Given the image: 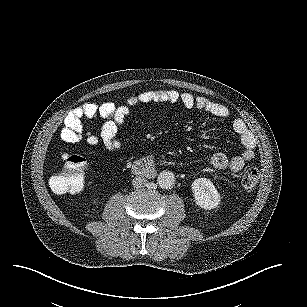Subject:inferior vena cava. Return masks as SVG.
I'll list each match as a JSON object with an SVG mask.
<instances>
[{
	"instance_id": "obj_1",
	"label": "inferior vena cava",
	"mask_w": 307,
	"mask_h": 307,
	"mask_svg": "<svg viewBox=\"0 0 307 307\" xmlns=\"http://www.w3.org/2000/svg\"><path fill=\"white\" fill-rule=\"evenodd\" d=\"M148 181L143 176H135L132 179V185L134 188H143L147 185Z\"/></svg>"
}]
</instances>
